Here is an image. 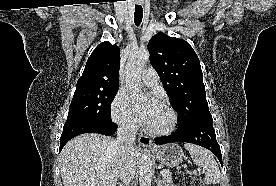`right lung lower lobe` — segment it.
I'll list each match as a JSON object with an SVG mask.
<instances>
[{
    "mask_svg": "<svg viewBox=\"0 0 276 186\" xmlns=\"http://www.w3.org/2000/svg\"><path fill=\"white\" fill-rule=\"evenodd\" d=\"M117 130V125L110 121H92V120H80L70 123H65L63 132L60 139V149L62 150L64 145L73 137L82 133H98L103 135H113Z\"/></svg>",
    "mask_w": 276,
    "mask_h": 186,
    "instance_id": "1",
    "label": "right lung lower lobe"
}]
</instances>
